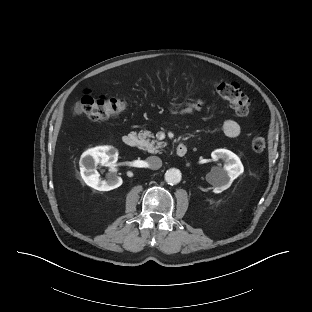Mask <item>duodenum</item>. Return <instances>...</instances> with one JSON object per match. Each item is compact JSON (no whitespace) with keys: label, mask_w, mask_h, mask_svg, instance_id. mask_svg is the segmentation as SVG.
<instances>
[{"label":"duodenum","mask_w":312,"mask_h":312,"mask_svg":"<svg viewBox=\"0 0 312 312\" xmlns=\"http://www.w3.org/2000/svg\"><path fill=\"white\" fill-rule=\"evenodd\" d=\"M123 144L127 147H134L137 145L138 139L135 134L129 133L123 136ZM187 153V146L185 144H179L176 147V154L180 157Z\"/></svg>","instance_id":"1"}]
</instances>
